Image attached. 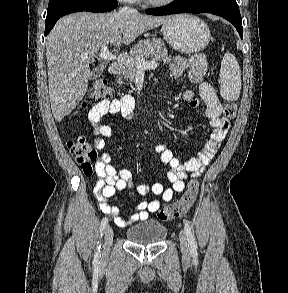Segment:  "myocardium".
<instances>
[{
  "label": "myocardium",
  "mask_w": 288,
  "mask_h": 293,
  "mask_svg": "<svg viewBox=\"0 0 288 293\" xmlns=\"http://www.w3.org/2000/svg\"><path fill=\"white\" fill-rule=\"evenodd\" d=\"M150 5L153 6H166L173 3L175 0H146Z\"/></svg>",
  "instance_id": "1"
}]
</instances>
